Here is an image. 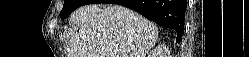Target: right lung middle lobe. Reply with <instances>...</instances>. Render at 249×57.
<instances>
[{
  "label": "right lung middle lobe",
  "instance_id": "right-lung-middle-lobe-1",
  "mask_svg": "<svg viewBox=\"0 0 249 57\" xmlns=\"http://www.w3.org/2000/svg\"><path fill=\"white\" fill-rule=\"evenodd\" d=\"M91 2L92 0H65L60 12L61 19L67 18L75 9Z\"/></svg>",
  "mask_w": 249,
  "mask_h": 57
}]
</instances>
